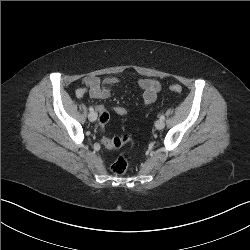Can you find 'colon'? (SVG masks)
I'll list each match as a JSON object with an SVG mask.
<instances>
[{
	"instance_id": "colon-1",
	"label": "colon",
	"mask_w": 250,
	"mask_h": 250,
	"mask_svg": "<svg viewBox=\"0 0 250 250\" xmlns=\"http://www.w3.org/2000/svg\"><path fill=\"white\" fill-rule=\"evenodd\" d=\"M170 90L175 93H181L182 87L179 84H172L170 85ZM113 112L118 116H126L127 110L124 106L118 104L113 107ZM109 121V113L106 109L100 111L99 114V128L103 132L105 130V126ZM99 142L105 146L106 149H118L124 145H129L130 147L133 146V138L130 134H123L121 136H117L114 138H110L107 134H102L99 137ZM128 168V161L124 155H119L116 160L111 165L112 172L117 176H122L125 174Z\"/></svg>"
}]
</instances>
